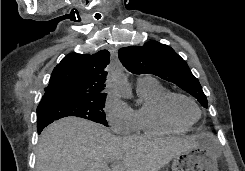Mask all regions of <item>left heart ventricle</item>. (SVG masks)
<instances>
[{
	"label": "left heart ventricle",
	"mask_w": 245,
	"mask_h": 171,
	"mask_svg": "<svg viewBox=\"0 0 245 171\" xmlns=\"http://www.w3.org/2000/svg\"><path fill=\"white\" fill-rule=\"evenodd\" d=\"M174 109L176 114L187 122L194 121L198 116L196 107L191 102L184 99L176 100Z\"/></svg>",
	"instance_id": "1"
}]
</instances>
